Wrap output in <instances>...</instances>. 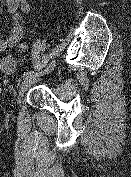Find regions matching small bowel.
Wrapping results in <instances>:
<instances>
[{
  "mask_svg": "<svg viewBox=\"0 0 131 177\" xmlns=\"http://www.w3.org/2000/svg\"><path fill=\"white\" fill-rule=\"evenodd\" d=\"M6 6L10 15V34L6 39L0 38V52L5 51L19 44L25 36L22 25V16L30 11V5L27 0H6ZM27 48L25 42L20 44V50Z\"/></svg>",
  "mask_w": 131,
  "mask_h": 177,
  "instance_id": "small-bowel-1",
  "label": "small bowel"
}]
</instances>
